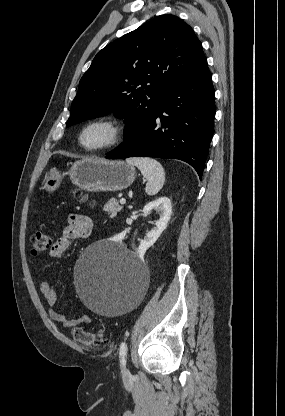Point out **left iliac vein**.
Segmentation results:
<instances>
[{
	"instance_id": "4c4485c4",
	"label": "left iliac vein",
	"mask_w": 285,
	"mask_h": 416,
	"mask_svg": "<svg viewBox=\"0 0 285 416\" xmlns=\"http://www.w3.org/2000/svg\"><path fill=\"white\" fill-rule=\"evenodd\" d=\"M122 372L124 373V376H126V375H128V374H129V371H128V369H126V368H124V369L122 370Z\"/></svg>"
}]
</instances>
